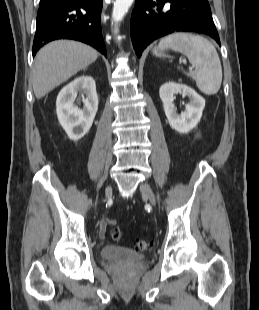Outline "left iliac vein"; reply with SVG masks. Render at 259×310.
I'll use <instances>...</instances> for the list:
<instances>
[{"mask_svg": "<svg viewBox=\"0 0 259 310\" xmlns=\"http://www.w3.org/2000/svg\"><path fill=\"white\" fill-rule=\"evenodd\" d=\"M140 191L144 197H146L152 206H156V198L151 189V187L147 183H143L140 186Z\"/></svg>", "mask_w": 259, "mask_h": 310, "instance_id": "left-iliac-vein-1", "label": "left iliac vein"}]
</instances>
